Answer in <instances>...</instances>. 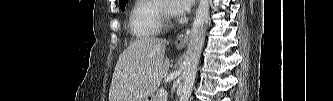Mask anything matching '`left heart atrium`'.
<instances>
[{
	"label": "left heart atrium",
	"instance_id": "39dd6f15",
	"mask_svg": "<svg viewBox=\"0 0 333 101\" xmlns=\"http://www.w3.org/2000/svg\"><path fill=\"white\" fill-rule=\"evenodd\" d=\"M191 4L192 0H172L168 11L172 15H183L190 9Z\"/></svg>",
	"mask_w": 333,
	"mask_h": 101
}]
</instances>
